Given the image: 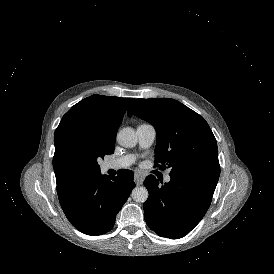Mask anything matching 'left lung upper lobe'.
<instances>
[{"label":"left lung upper lobe","mask_w":274,"mask_h":274,"mask_svg":"<svg viewBox=\"0 0 274 274\" xmlns=\"http://www.w3.org/2000/svg\"><path fill=\"white\" fill-rule=\"evenodd\" d=\"M127 113L148 121L156 129L155 167L167 166L170 175L218 181L217 143L202 116L170 98L137 99Z\"/></svg>","instance_id":"1"}]
</instances>
